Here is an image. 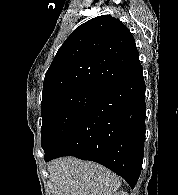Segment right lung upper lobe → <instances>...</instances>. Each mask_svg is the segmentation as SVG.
Returning a JSON list of instances; mask_svg holds the SVG:
<instances>
[{
	"label": "right lung upper lobe",
	"mask_w": 178,
	"mask_h": 195,
	"mask_svg": "<svg viewBox=\"0 0 178 195\" xmlns=\"http://www.w3.org/2000/svg\"><path fill=\"white\" fill-rule=\"evenodd\" d=\"M142 70L129 29L110 15L76 28L59 48L43 84L42 102L80 89L100 91Z\"/></svg>",
	"instance_id": "right-lung-upper-lobe-1"
}]
</instances>
